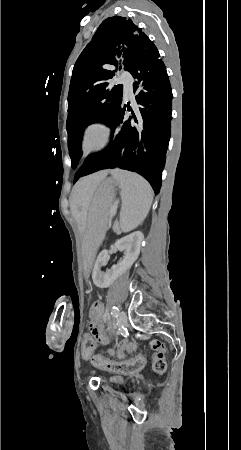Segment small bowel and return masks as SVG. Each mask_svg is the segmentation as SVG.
<instances>
[{"label": "small bowel", "mask_w": 241, "mask_h": 450, "mask_svg": "<svg viewBox=\"0 0 241 450\" xmlns=\"http://www.w3.org/2000/svg\"><path fill=\"white\" fill-rule=\"evenodd\" d=\"M101 305L96 303L91 306L92 312L91 315L88 318L89 323V329L91 330V333L95 335L94 340V351L97 347L98 342H108L105 334H104V328L102 327L103 323V312L101 310ZM98 336L99 338H96ZM138 348V344L133 341H129L126 339L120 340L115 348H109L107 350L108 354L111 356H116L119 359H124L127 354H131L132 352L136 351ZM110 381L115 383H122L123 379L120 376H113L110 378Z\"/></svg>", "instance_id": "c3829d8e"}]
</instances>
